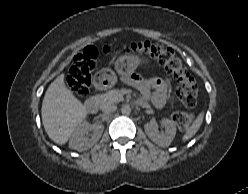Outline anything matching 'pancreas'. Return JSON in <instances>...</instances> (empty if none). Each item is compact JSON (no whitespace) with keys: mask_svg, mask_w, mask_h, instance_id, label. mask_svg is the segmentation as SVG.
I'll list each match as a JSON object with an SVG mask.
<instances>
[{"mask_svg":"<svg viewBox=\"0 0 248 194\" xmlns=\"http://www.w3.org/2000/svg\"><path fill=\"white\" fill-rule=\"evenodd\" d=\"M102 106L106 104L117 103L123 100V95L118 89L110 90L105 94L98 96Z\"/></svg>","mask_w":248,"mask_h":194,"instance_id":"cf45deb5","label":"pancreas"}]
</instances>
